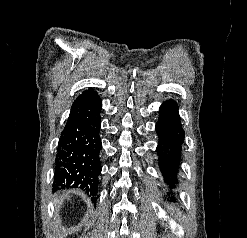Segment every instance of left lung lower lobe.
I'll return each mask as SVG.
<instances>
[{
	"label": "left lung lower lobe",
	"instance_id": "left-lung-lower-lobe-1",
	"mask_svg": "<svg viewBox=\"0 0 247 238\" xmlns=\"http://www.w3.org/2000/svg\"><path fill=\"white\" fill-rule=\"evenodd\" d=\"M159 110L160 117L156 124V132L160 138L156 149L159 156V167L166 183L174 187L185 135L176 102L168 100L160 106Z\"/></svg>",
	"mask_w": 247,
	"mask_h": 238
}]
</instances>
